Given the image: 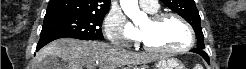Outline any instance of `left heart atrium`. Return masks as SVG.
Returning a JSON list of instances; mask_svg holds the SVG:
<instances>
[{"mask_svg": "<svg viewBox=\"0 0 246 69\" xmlns=\"http://www.w3.org/2000/svg\"><path fill=\"white\" fill-rule=\"evenodd\" d=\"M129 35L134 39H137L141 36L139 30H133V29L130 30Z\"/></svg>", "mask_w": 246, "mask_h": 69, "instance_id": "left-heart-atrium-1", "label": "left heart atrium"}]
</instances>
